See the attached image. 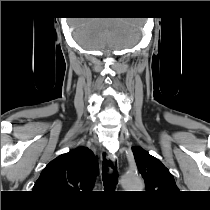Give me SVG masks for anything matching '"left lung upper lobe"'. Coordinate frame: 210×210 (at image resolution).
Here are the masks:
<instances>
[{
    "label": "left lung upper lobe",
    "instance_id": "left-lung-upper-lobe-1",
    "mask_svg": "<svg viewBox=\"0 0 210 210\" xmlns=\"http://www.w3.org/2000/svg\"><path fill=\"white\" fill-rule=\"evenodd\" d=\"M133 155L146 186V192L170 194L178 191L175 180L162 162L141 147H132Z\"/></svg>",
    "mask_w": 210,
    "mask_h": 210
}]
</instances>
